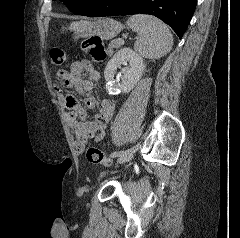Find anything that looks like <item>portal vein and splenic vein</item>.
I'll list each match as a JSON object with an SVG mask.
<instances>
[{"mask_svg": "<svg viewBox=\"0 0 240 238\" xmlns=\"http://www.w3.org/2000/svg\"><path fill=\"white\" fill-rule=\"evenodd\" d=\"M120 41V43L123 45L124 44V40L122 39H118Z\"/></svg>", "mask_w": 240, "mask_h": 238, "instance_id": "1", "label": "portal vein and splenic vein"}]
</instances>
